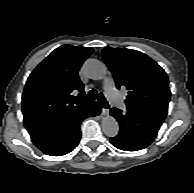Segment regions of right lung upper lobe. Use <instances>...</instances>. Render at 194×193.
Segmentation results:
<instances>
[{
	"label": "right lung upper lobe",
	"mask_w": 194,
	"mask_h": 193,
	"mask_svg": "<svg viewBox=\"0 0 194 193\" xmlns=\"http://www.w3.org/2000/svg\"><path fill=\"white\" fill-rule=\"evenodd\" d=\"M92 52L90 47L63 45L33 70L22 95L25 127L57 119L89 103L80 100L84 84L78 71ZM76 92L78 96L73 95Z\"/></svg>",
	"instance_id": "obj_1"
}]
</instances>
